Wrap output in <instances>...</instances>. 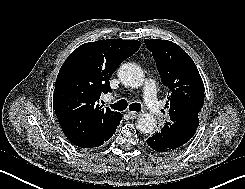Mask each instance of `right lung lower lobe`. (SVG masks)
Wrapping results in <instances>:
<instances>
[{"mask_svg": "<svg viewBox=\"0 0 245 189\" xmlns=\"http://www.w3.org/2000/svg\"><path fill=\"white\" fill-rule=\"evenodd\" d=\"M99 123V122H98ZM101 127V126H99ZM112 136H110L109 138L107 139H103L101 142L99 143H96V144H91V145H86V146H82V148H92V147H97V146H100L102 145L104 142H106L107 140H109Z\"/></svg>", "mask_w": 245, "mask_h": 189, "instance_id": "98d812e1", "label": "right lung lower lobe"}]
</instances>
